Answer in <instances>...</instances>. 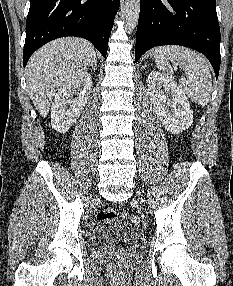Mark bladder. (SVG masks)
<instances>
[{"instance_id":"obj_1","label":"bladder","mask_w":233,"mask_h":286,"mask_svg":"<svg viewBox=\"0 0 233 286\" xmlns=\"http://www.w3.org/2000/svg\"><path fill=\"white\" fill-rule=\"evenodd\" d=\"M113 245L122 246L131 252H139L143 246V236L131 224L116 219L101 220L95 227L92 247L99 251Z\"/></svg>"}]
</instances>
